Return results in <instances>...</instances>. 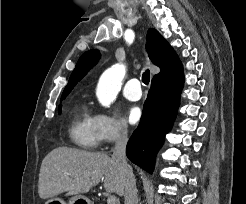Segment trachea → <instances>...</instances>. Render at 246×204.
I'll return each instance as SVG.
<instances>
[{"label":"trachea","instance_id":"obj_1","mask_svg":"<svg viewBox=\"0 0 246 204\" xmlns=\"http://www.w3.org/2000/svg\"><path fill=\"white\" fill-rule=\"evenodd\" d=\"M149 81H150V72L149 70L147 69L143 75H142V82L145 84V85H148L149 84Z\"/></svg>","mask_w":246,"mask_h":204}]
</instances>
